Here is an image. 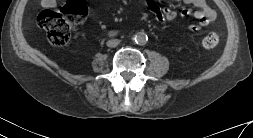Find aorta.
Masks as SVG:
<instances>
[{
	"label": "aorta",
	"mask_w": 253,
	"mask_h": 138,
	"mask_svg": "<svg viewBox=\"0 0 253 138\" xmlns=\"http://www.w3.org/2000/svg\"><path fill=\"white\" fill-rule=\"evenodd\" d=\"M132 39L138 45H145L148 41V36L145 32H137Z\"/></svg>",
	"instance_id": "1"
}]
</instances>
